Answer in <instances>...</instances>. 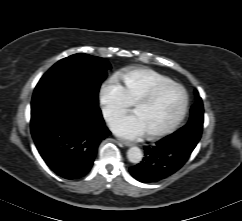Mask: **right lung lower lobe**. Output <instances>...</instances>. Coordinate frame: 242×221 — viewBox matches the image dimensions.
Listing matches in <instances>:
<instances>
[{"mask_svg": "<svg viewBox=\"0 0 242 221\" xmlns=\"http://www.w3.org/2000/svg\"><path fill=\"white\" fill-rule=\"evenodd\" d=\"M31 133L46 164L66 179H77L92 168L100 142L110 133L99 107H87L72 93L31 106Z\"/></svg>", "mask_w": 242, "mask_h": 221, "instance_id": "obj_1", "label": "right lung lower lobe"}]
</instances>
